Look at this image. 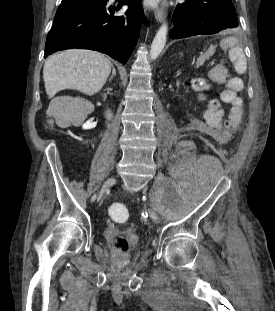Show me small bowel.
<instances>
[{
    "label": "small bowel",
    "mask_w": 275,
    "mask_h": 311,
    "mask_svg": "<svg viewBox=\"0 0 275 311\" xmlns=\"http://www.w3.org/2000/svg\"><path fill=\"white\" fill-rule=\"evenodd\" d=\"M220 45L225 48V50L221 51L223 62H236V57L246 56V51L241 49L240 43L235 37L223 38ZM227 70V64L211 65L208 70L209 80H187L190 93H199L197 107L203 108L202 121L205 122L208 129H213V132L217 133L216 143H227L228 139L234 138V133H237L241 127L238 120L241 117L242 100L235 98L231 102V118L224 119L225 110L221 105V101H219L215 92H212V87H225L226 82L228 83L232 79L225 73ZM198 78L202 79L203 75L199 74ZM97 122V117L91 116L82 120L79 125L84 130H91L96 127Z\"/></svg>",
    "instance_id": "c3829d8e"
}]
</instances>
